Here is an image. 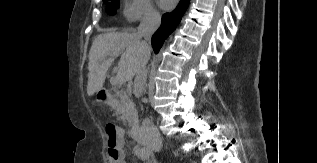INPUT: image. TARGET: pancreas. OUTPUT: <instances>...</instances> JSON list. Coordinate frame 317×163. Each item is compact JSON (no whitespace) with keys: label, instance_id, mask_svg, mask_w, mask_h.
Returning a JSON list of instances; mask_svg holds the SVG:
<instances>
[{"label":"pancreas","instance_id":"obj_1","mask_svg":"<svg viewBox=\"0 0 317 163\" xmlns=\"http://www.w3.org/2000/svg\"><path fill=\"white\" fill-rule=\"evenodd\" d=\"M115 97L119 98L112 101L117 118L124 124L133 126L138 122V114L135 108V104L130 98L122 91H116Z\"/></svg>","mask_w":317,"mask_h":163}]
</instances>
